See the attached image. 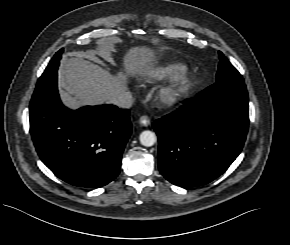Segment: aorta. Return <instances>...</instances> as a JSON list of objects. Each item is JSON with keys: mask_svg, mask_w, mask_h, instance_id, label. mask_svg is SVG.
<instances>
[{"mask_svg": "<svg viewBox=\"0 0 290 245\" xmlns=\"http://www.w3.org/2000/svg\"><path fill=\"white\" fill-rule=\"evenodd\" d=\"M139 140L143 146L151 147L156 143L157 137H156L154 132L149 131V130H145V131L141 132V134L139 136Z\"/></svg>", "mask_w": 290, "mask_h": 245, "instance_id": "1", "label": "aorta"}]
</instances>
